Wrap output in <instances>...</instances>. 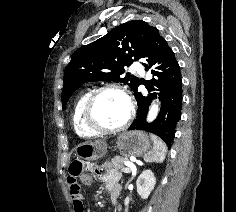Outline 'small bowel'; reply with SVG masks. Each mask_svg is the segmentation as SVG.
I'll return each mask as SVG.
<instances>
[{
	"label": "small bowel",
	"instance_id": "c3829d8e",
	"mask_svg": "<svg viewBox=\"0 0 236 212\" xmlns=\"http://www.w3.org/2000/svg\"><path fill=\"white\" fill-rule=\"evenodd\" d=\"M100 176L104 181L105 186L112 193L113 197H116L119 191V186H118L119 174L114 171H109V172H102ZM65 179L68 180L69 183V192L71 194L74 212H84L82 195L80 193L82 191V188L80 187L82 180L78 179V175H71V173L70 175H66Z\"/></svg>",
	"mask_w": 236,
	"mask_h": 212
}]
</instances>
